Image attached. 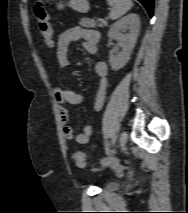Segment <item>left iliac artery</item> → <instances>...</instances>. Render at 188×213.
Segmentation results:
<instances>
[{
    "mask_svg": "<svg viewBox=\"0 0 188 213\" xmlns=\"http://www.w3.org/2000/svg\"><path fill=\"white\" fill-rule=\"evenodd\" d=\"M116 141H117V136H114V137L112 138V144L114 145V144L116 143Z\"/></svg>",
    "mask_w": 188,
    "mask_h": 213,
    "instance_id": "obj_1",
    "label": "left iliac artery"
}]
</instances>
